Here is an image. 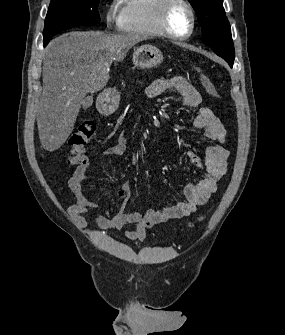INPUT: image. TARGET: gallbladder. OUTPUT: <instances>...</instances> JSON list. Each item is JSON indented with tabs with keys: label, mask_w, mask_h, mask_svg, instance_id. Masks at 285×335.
I'll return each instance as SVG.
<instances>
[{
	"label": "gallbladder",
	"mask_w": 285,
	"mask_h": 335,
	"mask_svg": "<svg viewBox=\"0 0 285 335\" xmlns=\"http://www.w3.org/2000/svg\"><path fill=\"white\" fill-rule=\"evenodd\" d=\"M92 104H93L92 96H87V98H84L82 102L83 110H88V108H91Z\"/></svg>",
	"instance_id": "gallbladder-1"
}]
</instances>
